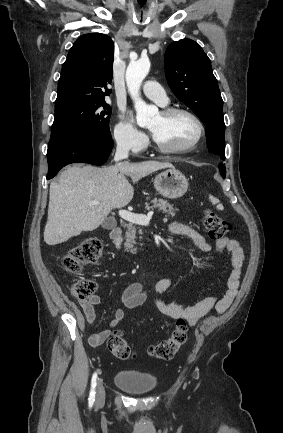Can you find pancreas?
Returning <instances> with one entry per match:
<instances>
[{
  "label": "pancreas",
  "mask_w": 283,
  "mask_h": 433,
  "mask_svg": "<svg viewBox=\"0 0 283 433\" xmlns=\"http://www.w3.org/2000/svg\"><path fill=\"white\" fill-rule=\"evenodd\" d=\"M152 206H150V202H145V208L146 210H150V208H158V210H163V212H167V214H170V217H175V210H179V208H173V204H170L168 200H163V198H153L151 200ZM127 227V233L125 235L126 237V243L125 247L126 249H130V253L132 255H136L137 251L136 249H133V243H136V231L137 227H134V223H129V225H126Z\"/></svg>",
  "instance_id": "obj_1"
}]
</instances>
